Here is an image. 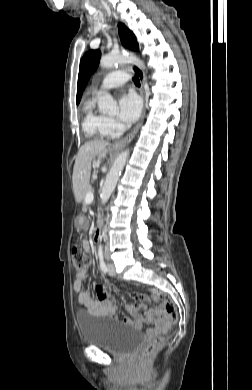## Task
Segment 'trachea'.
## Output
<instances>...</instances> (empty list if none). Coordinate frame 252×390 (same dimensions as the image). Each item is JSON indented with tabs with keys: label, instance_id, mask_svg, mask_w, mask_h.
<instances>
[{
	"label": "trachea",
	"instance_id": "obj_1",
	"mask_svg": "<svg viewBox=\"0 0 252 390\" xmlns=\"http://www.w3.org/2000/svg\"><path fill=\"white\" fill-rule=\"evenodd\" d=\"M133 81H134V84H135L136 86H140V80H139V78H138L137 76H135V77L133 78Z\"/></svg>",
	"mask_w": 252,
	"mask_h": 390
}]
</instances>
